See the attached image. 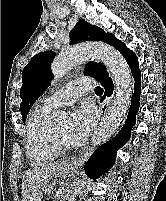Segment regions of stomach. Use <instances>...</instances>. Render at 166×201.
Instances as JSON below:
<instances>
[{
    "label": "stomach",
    "instance_id": "obj_1",
    "mask_svg": "<svg viewBox=\"0 0 166 201\" xmlns=\"http://www.w3.org/2000/svg\"><path fill=\"white\" fill-rule=\"evenodd\" d=\"M73 167H68L65 169H62L58 174H57V178L59 179H65L72 171H73ZM52 189V186H49L48 189H46L45 191H50Z\"/></svg>",
    "mask_w": 166,
    "mask_h": 201
}]
</instances>
